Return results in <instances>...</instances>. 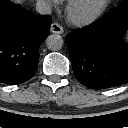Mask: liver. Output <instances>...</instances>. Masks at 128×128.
Instances as JSON below:
<instances>
[{
	"label": "liver",
	"mask_w": 128,
	"mask_h": 128,
	"mask_svg": "<svg viewBox=\"0 0 128 128\" xmlns=\"http://www.w3.org/2000/svg\"><path fill=\"white\" fill-rule=\"evenodd\" d=\"M12 1L15 3H22L23 2V0H12Z\"/></svg>",
	"instance_id": "liver-1"
}]
</instances>
